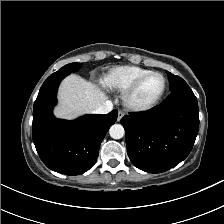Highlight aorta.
<instances>
[{
	"label": "aorta",
	"mask_w": 224,
	"mask_h": 224,
	"mask_svg": "<svg viewBox=\"0 0 224 224\" xmlns=\"http://www.w3.org/2000/svg\"><path fill=\"white\" fill-rule=\"evenodd\" d=\"M109 134L113 139H120L124 136L125 130L121 124H114L110 127Z\"/></svg>",
	"instance_id": "aorta-1"
}]
</instances>
